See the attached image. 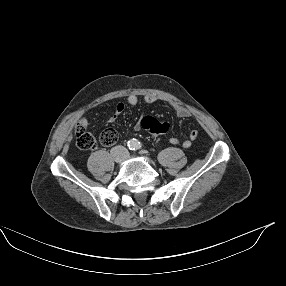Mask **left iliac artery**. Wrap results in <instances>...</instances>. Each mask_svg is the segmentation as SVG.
<instances>
[{
  "label": "left iliac artery",
  "mask_w": 286,
  "mask_h": 286,
  "mask_svg": "<svg viewBox=\"0 0 286 286\" xmlns=\"http://www.w3.org/2000/svg\"><path fill=\"white\" fill-rule=\"evenodd\" d=\"M141 147H142L141 143L140 142H136V148L137 149H141Z\"/></svg>",
  "instance_id": "obj_1"
}]
</instances>
